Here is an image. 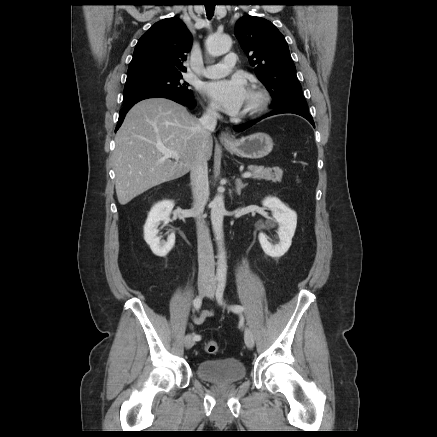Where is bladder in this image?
Returning a JSON list of instances; mask_svg holds the SVG:
<instances>
[{
	"instance_id": "31cf9c89",
	"label": "bladder",
	"mask_w": 437,
	"mask_h": 437,
	"mask_svg": "<svg viewBox=\"0 0 437 437\" xmlns=\"http://www.w3.org/2000/svg\"><path fill=\"white\" fill-rule=\"evenodd\" d=\"M196 375L211 383L238 382L246 376V367L235 358L203 360L196 366Z\"/></svg>"
}]
</instances>
